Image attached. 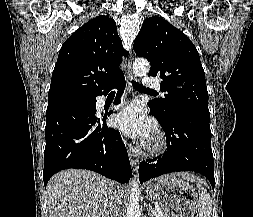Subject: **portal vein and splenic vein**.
<instances>
[{
	"label": "portal vein and splenic vein",
	"mask_w": 253,
	"mask_h": 217,
	"mask_svg": "<svg viewBox=\"0 0 253 217\" xmlns=\"http://www.w3.org/2000/svg\"><path fill=\"white\" fill-rule=\"evenodd\" d=\"M151 215H152V217H154V216H156V215L161 216L162 213H161V211H160L159 208H154V209L151 210Z\"/></svg>",
	"instance_id": "18ae733b"
}]
</instances>
